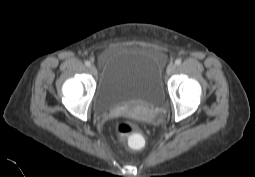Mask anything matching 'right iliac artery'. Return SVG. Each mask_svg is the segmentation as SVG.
Returning <instances> with one entry per match:
<instances>
[{
  "label": "right iliac artery",
  "instance_id": "1",
  "mask_svg": "<svg viewBox=\"0 0 255 177\" xmlns=\"http://www.w3.org/2000/svg\"><path fill=\"white\" fill-rule=\"evenodd\" d=\"M85 65H86L87 67H90V66H91V63H90L89 61H85Z\"/></svg>",
  "mask_w": 255,
  "mask_h": 177
}]
</instances>
